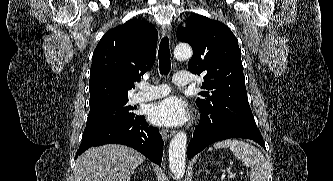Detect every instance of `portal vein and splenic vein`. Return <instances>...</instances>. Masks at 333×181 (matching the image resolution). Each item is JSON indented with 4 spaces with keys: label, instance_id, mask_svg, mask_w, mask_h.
<instances>
[{
    "label": "portal vein and splenic vein",
    "instance_id": "18ae733b",
    "mask_svg": "<svg viewBox=\"0 0 333 181\" xmlns=\"http://www.w3.org/2000/svg\"><path fill=\"white\" fill-rule=\"evenodd\" d=\"M236 176V173H234V172H231L230 174H229V176H228V178H234Z\"/></svg>",
    "mask_w": 333,
    "mask_h": 181
}]
</instances>
